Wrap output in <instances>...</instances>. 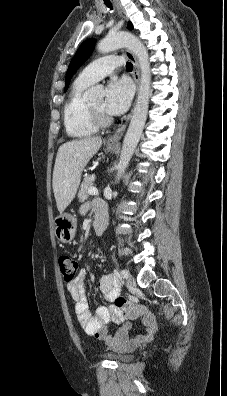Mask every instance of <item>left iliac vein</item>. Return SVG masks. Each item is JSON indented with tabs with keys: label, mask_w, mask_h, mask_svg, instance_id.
<instances>
[{
	"label": "left iliac vein",
	"mask_w": 227,
	"mask_h": 396,
	"mask_svg": "<svg viewBox=\"0 0 227 396\" xmlns=\"http://www.w3.org/2000/svg\"><path fill=\"white\" fill-rule=\"evenodd\" d=\"M126 285L129 289H134L136 287V282L135 279L133 278L132 275H128V277L126 278Z\"/></svg>",
	"instance_id": "1"
}]
</instances>
